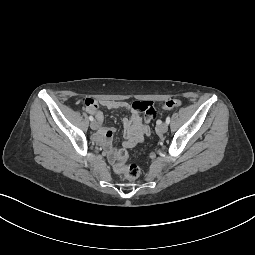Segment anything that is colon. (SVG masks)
Instances as JSON below:
<instances>
[{
  "instance_id": "5ec220e1",
  "label": "colon",
  "mask_w": 255,
  "mask_h": 255,
  "mask_svg": "<svg viewBox=\"0 0 255 255\" xmlns=\"http://www.w3.org/2000/svg\"><path fill=\"white\" fill-rule=\"evenodd\" d=\"M97 103V100L93 98H84L83 104L85 106H93ZM182 105V102L178 99H171L165 102L164 108L172 109L178 108ZM114 158V170L117 174L123 176L128 180H135L139 174L140 169L135 164L126 165L128 159V153L125 149H119L113 154Z\"/></svg>"
}]
</instances>
